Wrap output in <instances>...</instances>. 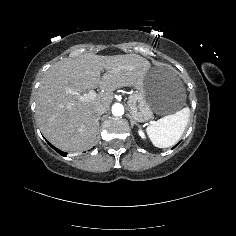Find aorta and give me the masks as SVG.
<instances>
[{"label": "aorta", "instance_id": "obj_1", "mask_svg": "<svg viewBox=\"0 0 236 236\" xmlns=\"http://www.w3.org/2000/svg\"><path fill=\"white\" fill-rule=\"evenodd\" d=\"M123 112H124V108L120 103L113 104V106H112L113 115L120 116L123 114Z\"/></svg>", "mask_w": 236, "mask_h": 236}]
</instances>
